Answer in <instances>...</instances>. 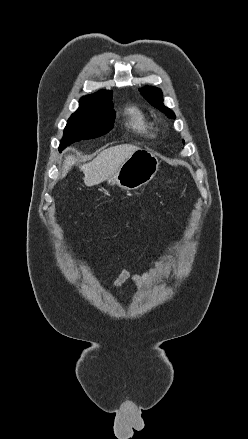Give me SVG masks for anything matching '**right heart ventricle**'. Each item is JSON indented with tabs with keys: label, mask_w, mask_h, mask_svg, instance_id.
Wrapping results in <instances>:
<instances>
[{
	"label": "right heart ventricle",
	"mask_w": 248,
	"mask_h": 439,
	"mask_svg": "<svg viewBox=\"0 0 248 439\" xmlns=\"http://www.w3.org/2000/svg\"><path fill=\"white\" fill-rule=\"evenodd\" d=\"M124 114L127 118V125L133 131L147 137L154 136V123L140 107L129 105L124 109Z\"/></svg>",
	"instance_id": "e07e8e85"
}]
</instances>
